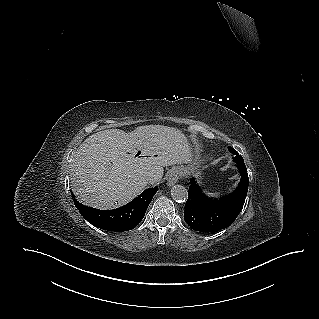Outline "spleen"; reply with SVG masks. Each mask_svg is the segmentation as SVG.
<instances>
[{"mask_svg":"<svg viewBox=\"0 0 319 319\" xmlns=\"http://www.w3.org/2000/svg\"><path fill=\"white\" fill-rule=\"evenodd\" d=\"M208 195L210 196H214V197H217L219 195V192H215V193H207Z\"/></svg>","mask_w":319,"mask_h":319,"instance_id":"spleen-1","label":"spleen"}]
</instances>
